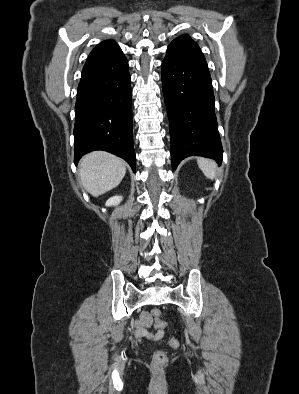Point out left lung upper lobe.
<instances>
[{
    "label": "left lung upper lobe",
    "instance_id": "left-lung-upper-lobe-1",
    "mask_svg": "<svg viewBox=\"0 0 299 394\" xmlns=\"http://www.w3.org/2000/svg\"><path fill=\"white\" fill-rule=\"evenodd\" d=\"M168 47L179 49L200 50L197 43H195L190 36L182 35L174 39Z\"/></svg>",
    "mask_w": 299,
    "mask_h": 394
}]
</instances>
